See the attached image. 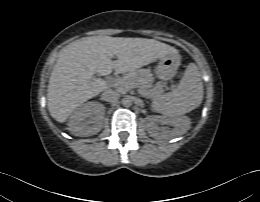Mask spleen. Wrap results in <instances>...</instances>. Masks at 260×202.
I'll return each mask as SVG.
<instances>
[{
	"label": "spleen",
	"instance_id": "3e777b00",
	"mask_svg": "<svg viewBox=\"0 0 260 202\" xmlns=\"http://www.w3.org/2000/svg\"><path fill=\"white\" fill-rule=\"evenodd\" d=\"M203 100V84L198 67L190 63L178 87L153 100L152 109L164 116H178L197 108ZM185 129L179 134L185 133Z\"/></svg>",
	"mask_w": 260,
	"mask_h": 202
}]
</instances>
